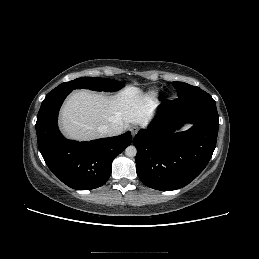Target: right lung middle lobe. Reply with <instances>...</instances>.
<instances>
[{"label": "right lung middle lobe", "instance_id": "1", "mask_svg": "<svg viewBox=\"0 0 259 259\" xmlns=\"http://www.w3.org/2000/svg\"><path fill=\"white\" fill-rule=\"evenodd\" d=\"M124 86L122 82L100 77H81L75 80L64 82L50 91L48 94L62 90L90 89L95 91H117Z\"/></svg>", "mask_w": 259, "mask_h": 259}]
</instances>
